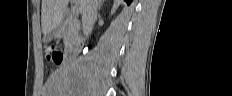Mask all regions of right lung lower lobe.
<instances>
[{
  "instance_id": "1",
  "label": "right lung lower lobe",
  "mask_w": 232,
  "mask_h": 96,
  "mask_svg": "<svg viewBox=\"0 0 232 96\" xmlns=\"http://www.w3.org/2000/svg\"><path fill=\"white\" fill-rule=\"evenodd\" d=\"M127 2V4H130L132 2V0H125Z\"/></svg>"
}]
</instances>
